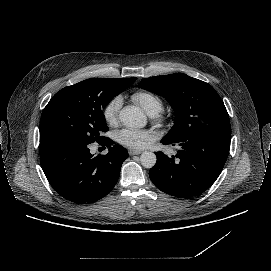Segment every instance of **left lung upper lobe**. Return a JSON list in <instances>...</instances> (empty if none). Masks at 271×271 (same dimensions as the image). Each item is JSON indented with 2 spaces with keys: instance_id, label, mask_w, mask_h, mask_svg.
<instances>
[{
  "instance_id": "5c2ea615",
  "label": "left lung upper lobe",
  "mask_w": 271,
  "mask_h": 271,
  "mask_svg": "<svg viewBox=\"0 0 271 271\" xmlns=\"http://www.w3.org/2000/svg\"><path fill=\"white\" fill-rule=\"evenodd\" d=\"M138 86L165 97L175 110L174 125L165 140L183 141L206 131L231 134L224 103L208 83L176 73L142 79Z\"/></svg>"
}]
</instances>
